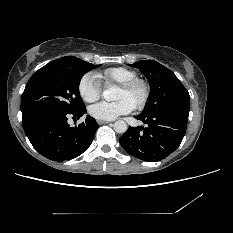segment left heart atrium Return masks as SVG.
<instances>
[{
  "instance_id": "left-heart-atrium-1",
  "label": "left heart atrium",
  "mask_w": 233,
  "mask_h": 233,
  "mask_svg": "<svg viewBox=\"0 0 233 233\" xmlns=\"http://www.w3.org/2000/svg\"><path fill=\"white\" fill-rule=\"evenodd\" d=\"M135 108L134 104L126 99L115 102H98L90 106V114L98 120H114L121 115L130 113Z\"/></svg>"
}]
</instances>
